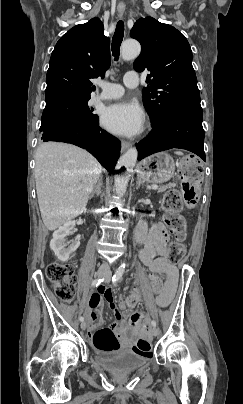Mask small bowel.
I'll list each match as a JSON object with an SVG mask.
<instances>
[{
    "label": "small bowel",
    "instance_id": "c3829d8e",
    "mask_svg": "<svg viewBox=\"0 0 243 404\" xmlns=\"http://www.w3.org/2000/svg\"><path fill=\"white\" fill-rule=\"evenodd\" d=\"M136 239L142 245L140 250L142 262L152 272L163 274L166 277L163 290L156 297L157 304L160 307H166L174 297L179 277L177 268L162 257L165 244L169 239L168 231L161 223H155L150 227L142 223L137 228ZM104 301L115 311L117 319L121 320L120 314L115 310L113 291L110 288L99 287L98 291L93 293L89 300L91 314L88 324L90 330L96 325L94 322L98 320ZM100 323L101 321H98L97 324ZM148 323V317H144L140 312H135L127 322L115 323L112 328L122 344L131 345L137 337L144 333ZM130 327L132 328V333L129 335L128 329Z\"/></svg>",
    "mask_w": 243,
    "mask_h": 404
}]
</instances>
